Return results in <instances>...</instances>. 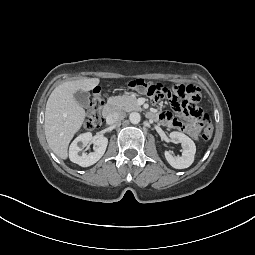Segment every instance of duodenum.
Masks as SVG:
<instances>
[{
    "mask_svg": "<svg viewBox=\"0 0 255 255\" xmlns=\"http://www.w3.org/2000/svg\"><path fill=\"white\" fill-rule=\"evenodd\" d=\"M114 110L113 107L110 105H107L103 109V116L106 120H110L113 116ZM151 117H153V113L150 114Z\"/></svg>",
    "mask_w": 255,
    "mask_h": 255,
    "instance_id": "duodenum-1",
    "label": "duodenum"
}]
</instances>
